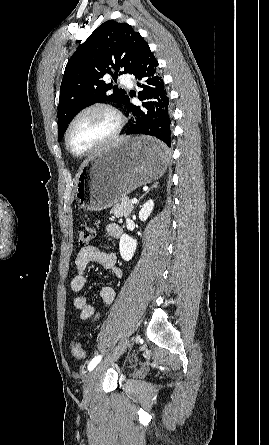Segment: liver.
I'll return each mask as SVG.
<instances>
[{"label": "liver", "mask_w": 269, "mask_h": 445, "mask_svg": "<svg viewBox=\"0 0 269 445\" xmlns=\"http://www.w3.org/2000/svg\"><path fill=\"white\" fill-rule=\"evenodd\" d=\"M126 137L119 138L117 142L123 141Z\"/></svg>", "instance_id": "obj_1"}]
</instances>
